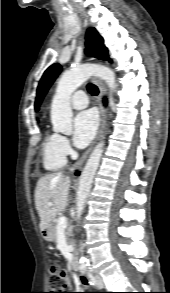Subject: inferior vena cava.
I'll list each match as a JSON object with an SVG mask.
<instances>
[{
	"mask_svg": "<svg viewBox=\"0 0 170 293\" xmlns=\"http://www.w3.org/2000/svg\"><path fill=\"white\" fill-rule=\"evenodd\" d=\"M83 248H82V244H81V247H80V252H82L83 250H82Z\"/></svg>",
	"mask_w": 170,
	"mask_h": 293,
	"instance_id": "inferior-vena-cava-1",
	"label": "inferior vena cava"
}]
</instances>
